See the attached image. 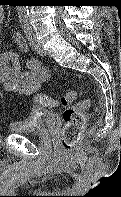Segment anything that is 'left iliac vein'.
<instances>
[{
    "instance_id": "1",
    "label": "left iliac vein",
    "mask_w": 121,
    "mask_h": 197,
    "mask_svg": "<svg viewBox=\"0 0 121 197\" xmlns=\"http://www.w3.org/2000/svg\"><path fill=\"white\" fill-rule=\"evenodd\" d=\"M33 48H34L35 52H36L37 54H39L40 56L46 55V52H45L44 49L41 47V45H40V43L38 42V40L36 39L35 35H34Z\"/></svg>"
}]
</instances>
